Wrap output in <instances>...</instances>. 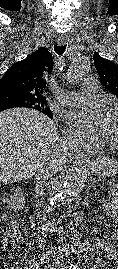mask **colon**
<instances>
[{
  "mask_svg": "<svg viewBox=\"0 0 118 269\" xmlns=\"http://www.w3.org/2000/svg\"><path fill=\"white\" fill-rule=\"evenodd\" d=\"M5 219V216L2 214V207H0V220ZM16 225L14 223H10L9 226L6 229V233L8 236H12L16 232Z\"/></svg>",
  "mask_w": 118,
  "mask_h": 269,
  "instance_id": "5ec220e1",
  "label": "colon"
}]
</instances>
